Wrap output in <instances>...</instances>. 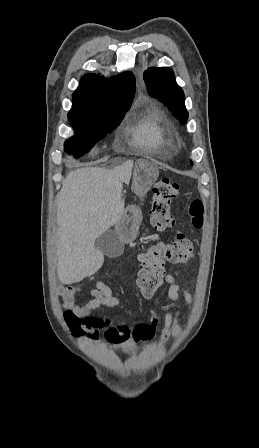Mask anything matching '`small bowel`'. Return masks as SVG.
I'll return each mask as SVG.
<instances>
[{
  "mask_svg": "<svg viewBox=\"0 0 259 448\" xmlns=\"http://www.w3.org/2000/svg\"><path fill=\"white\" fill-rule=\"evenodd\" d=\"M177 276V272L168 273L165 276V281L168 284V297L175 309L164 316V328L161 332L162 341L168 340L173 333L179 332L181 288L177 282ZM183 297L187 304L192 302L188 292L184 291ZM119 303L120 300L113 294L111 288L104 282L96 280V288L91 290L90 299L83 304L72 303L69 308L81 320L82 328L88 331L91 339H96L99 332L104 329L109 347L134 353L137 350L136 344L138 342L147 341L155 335L160 319L156 313H152L146 323L130 329L128 327H107L103 319L93 315L94 311L100 307H116Z\"/></svg>",
  "mask_w": 259,
  "mask_h": 448,
  "instance_id": "c3829d8e",
  "label": "small bowel"
}]
</instances>
